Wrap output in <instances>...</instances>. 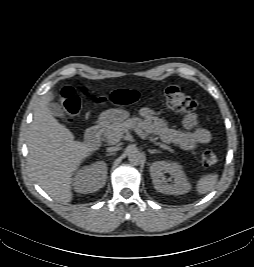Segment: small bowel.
Listing matches in <instances>:
<instances>
[{
	"label": "small bowel",
	"instance_id": "obj_1",
	"mask_svg": "<svg viewBox=\"0 0 254 267\" xmlns=\"http://www.w3.org/2000/svg\"><path fill=\"white\" fill-rule=\"evenodd\" d=\"M148 128L165 143H173L184 150H192L199 144H207L211 141V133L205 128L198 127L195 114H189L183 119L184 131L168 127L158 119L152 109L144 107L140 110Z\"/></svg>",
	"mask_w": 254,
	"mask_h": 267
}]
</instances>
